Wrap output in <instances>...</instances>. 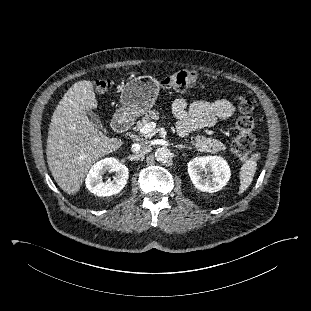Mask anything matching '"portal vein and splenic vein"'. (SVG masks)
Returning a JSON list of instances; mask_svg holds the SVG:
<instances>
[{
	"label": "portal vein and splenic vein",
	"mask_w": 311,
	"mask_h": 311,
	"mask_svg": "<svg viewBox=\"0 0 311 311\" xmlns=\"http://www.w3.org/2000/svg\"><path fill=\"white\" fill-rule=\"evenodd\" d=\"M156 127V123L155 122H149L146 123L141 129H140V133L142 135H147L149 133H151Z\"/></svg>",
	"instance_id": "18ae733b"
}]
</instances>
